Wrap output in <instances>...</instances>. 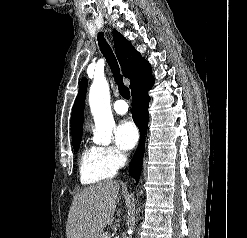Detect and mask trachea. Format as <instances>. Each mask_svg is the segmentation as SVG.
<instances>
[{"instance_id":"trachea-1","label":"trachea","mask_w":247,"mask_h":238,"mask_svg":"<svg viewBox=\"0 0 247 238\" xmlns=\"http://www.w3.org/2000/svg\"><path fill=\"white\" fill-rule=\"evenodd\" d=\"M98 41H99L100 50H101L103 56L106 58L109 66L112 70L113 76H114L115 81L118 85L120 95L122 97H124L125 99H130V91H129L128 87H126L123 83V77L120 74V68H119L118 62L114 56V53H113L111 47L108 45V43L104 39L103 33L98 34Z\"/></svg>"}]
</instances>
